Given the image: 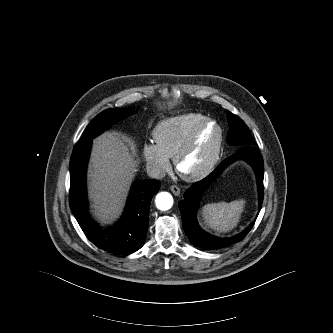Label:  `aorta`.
<instances>
[{
    "label": "aorta",
    "instance_id": "aorta-1",
    "mask_svg": "<svg viewBox=\"0 0 333 333\" xmlns=\"http://www.w3.org/2000/svg\"><path fill=\"white\" fill-rule=\"evenodd\" d=\"M155 203L159 210L166 211L173 206V197L168 192H160L156 196Z\"/></svg>",
    "mask_w": 333,
    "mask_h": 333
}]
</instances>
